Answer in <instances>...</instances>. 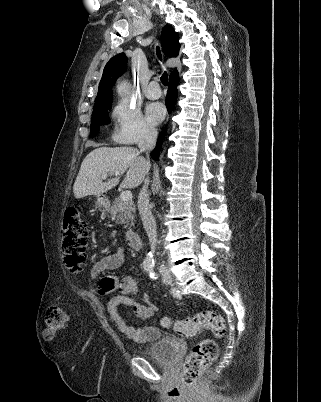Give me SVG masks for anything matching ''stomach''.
<instances>
[{"instance_id":"0dacf381","label":"stomach","mask_w":321,"mask_h":402,"mask_svg":"<svg viewBox=\"0 0 321 402\" xmlns=\"http://www.w3.org/2000/svg\"><path fill=\"white\" fill-rule=\"evenodd\" d=\"M106 204H107V199L104 196H102V195L97 196V199H96V202H95L96 207L102 208Z\"/></svg>"}]
</instances>
